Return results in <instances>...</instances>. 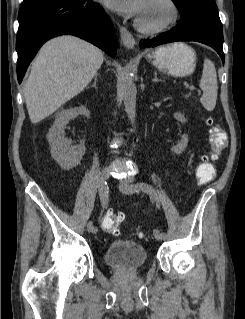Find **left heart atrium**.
<instances>
[{
	"label": "left heart atrium",
	"mask_w": 245,
	"mask_h": 319,
	"mask_svg": "<svg viewBox=\"0 0 245 319\" xmlns=\"http://www.w3.org/2000/svg\"><path fill=\"white\" fill-rule=\"evenodd\" d=\"M148 0H103L110 9L128 17L139 18Z\"/></svg>",
	"instance_id": "39dd6f15"
}]
</instances>
